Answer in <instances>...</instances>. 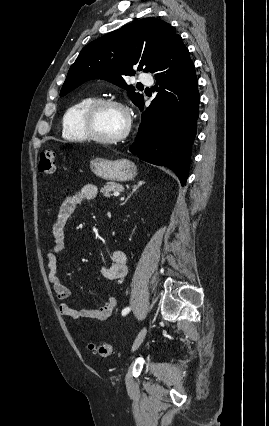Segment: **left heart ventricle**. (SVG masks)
I'll list each match as a JSON object with an SVG mask.
<instances>
[{"instance_id": "b2bd125f", "label": "left heart ventricle", "mask_w": 269, "mask_h": 426, "mask_svg": "<svg viewBox=\"0 0 269 426\" xmlns=\"http://www.w3.org/2000/svg\"><path fill=\"white\" fill-rule=\"evenodd\" d=\"M126 125V118L122 110L113 106L100 108L94 117L95 132L104 138H113L119 135Z\"/></svg>"}]
</instances>
